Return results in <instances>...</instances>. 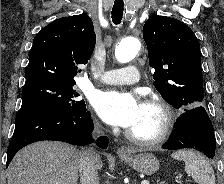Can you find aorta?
<instances>
[{
	"label": "aorta",
	"mask_w": 224,
	"mask_h": 184,
	"mask_svg": "<svg viewBox=\"0 0 224 184\" xmlns=\"http://www.w3.org/2000/svg\"><path fill=\"white\" fill-rule=\"evenodd\" d=\"M140 49V42L136 38H124L115 48V57L120 63L133 60Z\"/></svg>",
	"instance_id": "1"
}]
</instances>
